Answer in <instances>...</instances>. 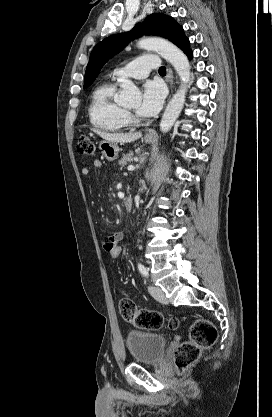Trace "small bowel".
I'll return each instance as SVG.
<instances>
[{
  "label": "small bowel",
  "instance_id": "obj_1",
  "mask_svg": "<svg viewBox=\"0 0 272 417\" xmlns=\"http://www.w3.org/2000/svg\"><path fill=\"white\" fill-rule=\"evenodd\" d=\"M93 164H94V167H96V168H102V167L104 166V162H103L102 160H100V159H96V160L93 162ZM90 173H91V170H90V168H89V167H84V168H82V170H81V174H82L83 176H85V177H88V176L90 175ZM123 238H124V233H123V232H121V231H119V232H115L114 234H112V235L108 236V237L104 240V242H103V244H102V247H103V249H104V250H106L107 245H108L110 242L115 241V240H120V241H122V240H123Z\"/></svg>",
  "mask_w": 272,
  "mask_h": 417
}]
</instances>
